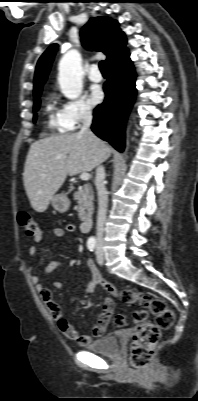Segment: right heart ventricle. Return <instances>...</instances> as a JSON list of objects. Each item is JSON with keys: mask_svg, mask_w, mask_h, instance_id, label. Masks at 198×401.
Here are the masks:
<instances>
[{"mask_svg": "<svg viewBox=\"0 0 198 401\" xmlns=\"http://www.w3.org/2000/svg\"><path fill=\"white\" fill-rule=\"evenodd\" d=\"M46 112L48 117V124L51 129L57 132H67L68 130L62 124L59 118V113L55 111L54 106L48 102L46 105Z\"/></svg>", "mask_w": 198, "mask_h": 401, "instance_id": "right-heart-ventricle-1", "label": "right heart ventricle"}]
</instances>
